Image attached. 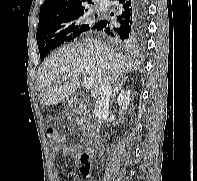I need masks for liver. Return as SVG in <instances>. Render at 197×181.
Returning a JSON list of instances; mask_svg holds the SVG:
<instances>
[{"instance_id":"liver-1","label":"liver","mask_w":197,"mask_h":181,"mask_svg":"<svg viewBox=\"0 0 197 181\" xmlns=\"http://www.w3.org/2000/svg\"><path fill=\"white\" fill-rule=\"evenodd\" d=\"M136 65L122 53L99 39H83V44L64 45L41 65L38 90L43 93V104L56 105L75 92L80 85L79 76L94 78L92 96L98 97L108 80L117 81L119 76L136 69ZM63 77L70 80L63 85L52 83Z\"/></svg>"}]
</instances>
